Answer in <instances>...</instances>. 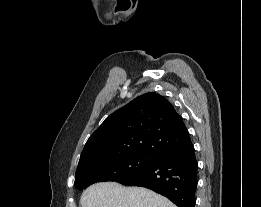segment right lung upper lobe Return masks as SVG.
Instances as JSON below:
<instances>
[{"mask_svg":"<svg viewBox=\"0 0 261 207\" xmlns=\"http://www.w3.org/2000/svg\"><path fill=\"white\" fill-rule=\"evenodd\" d=\"M190 141L183 119L172 104L150 92L105 119L86 142L77 168L121 156L154 158Z\"/></svg>","mask_w":261,"mask_h":207,"instance_id":"1","label":"right lung upper lobe"}]
</instances>
